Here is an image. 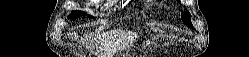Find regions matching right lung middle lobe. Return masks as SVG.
<instances>
[{
  "mask_svg": "<svg viewBox=\"0 0 249 57\" xmlns=\"http://www.w3.org/2000/svg\"><path fill=\"white\" fill-rule=\"evenodd\" d=\"M86 13L85 12H82V11H77V10H75V11H73L70 15H69V19L71 18V19H76V18H78V17H80V15H85ZM90 18H94L93 16H91V15H88Z\"/></svg>",
  "mask_w": 249,
  "mask_h": 57,
  "instance_id": "right-lung-middle-lobe-1",
  "label": "right lung middle lobe"
}]
</instances>
